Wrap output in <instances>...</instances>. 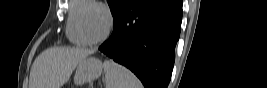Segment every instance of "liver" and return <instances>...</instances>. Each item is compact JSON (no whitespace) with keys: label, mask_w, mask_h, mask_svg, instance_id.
<instances>
[{"label":"liver","mask_w":267,"mask_h":88,"mask_svg":"<svg viewBox=\"0 0 267 88\" xmlns=\"http://www.w3.org/2000/svg\"><path fill=\"white\" fill-rule=\"evenodd\" d=\"M92 53V50L65 47L43 51L31 67L29 88H61L78 63Z\"/></svg>","instance_id":"1"}]
</instances>
